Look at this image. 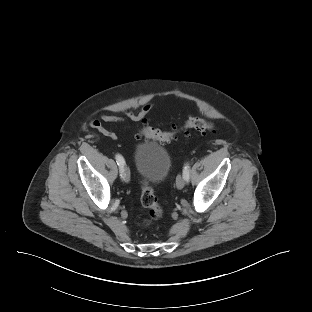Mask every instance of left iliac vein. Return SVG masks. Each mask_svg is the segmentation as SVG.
Here are the masks:
<instances>
[{"label": "left iliac vein", "instance_id": "4c4485c4", "mask_svg": "<svg viewBox=\"0 0 312 312\" xmlns=\"http://www.w3.org/2000/svg\"><path fill=\"white\" fill-rule=\"evenodd\" d=\"M186 184V180L183 176L179 175L176 179V186L178 189H182Z\"/></svg>", "mask_w": 312, "mask_h": 312}]
</instances>
